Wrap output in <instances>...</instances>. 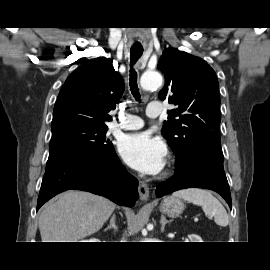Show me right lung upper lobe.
Returning a JSON list of instances; mask_svg holds the SVG:
<instances>
[{
	"label": "right lung upper lobe",
	"mask_w": 270,
	"mask_h": 270,
	"mask_svg": "<svg viewBox=\"0 0 270 270\" xmlns=\"http://www.w3.org/2000/svg\"><path fill=\"white\" fill-rule=\"evenodd\" d=\"M124 92L121 75L105 57L88 61L65 81L54 106L51 126L82 122L106 126Z\"/></svg>",
	"instance_id": "right-lung-upper-lobe-1"
}]
</instances>
